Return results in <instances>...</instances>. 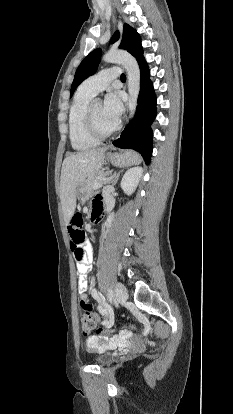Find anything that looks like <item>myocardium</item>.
<instances>
[{"label":"myocardium","instance_id":"obj_1","mask_svg":"<svg viewBox=\"0 0 233 414\" xmlns=\"http://www.w3.org/2000/svg\"><path fill=\"white\" fill-rule=\"evenodd\" d=\"M84 128L90 137L98 141H101V140L110 138L111 136L116 134L120 128V123L117 122L114 128L110 130L109 132H100L96 128L95 123H94L92 105H89L84 114Z\"/></svg>","mask_w":233,"mask_h":414}]
</instances>
